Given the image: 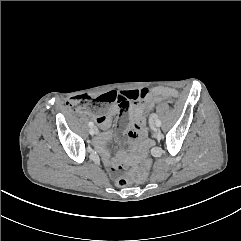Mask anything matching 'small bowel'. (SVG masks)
<instances>
[{
	"mask_svg": "<svg viewBox=\"0 0 241 241\" xmlns=\"http://www.w3.org/2000/svg\"><path fill=\"white\" fill-rule=\"evenodd\" d=\"M116 96L125 98L127 97L128 108L125 112V122L118 125V129L123 134L127 141H133L144 137V121L140 117V109L142 105H146L153 98H160L163 96L175 97L177 91L168 87H157L149 86L144 88H138L137 90L122 91V92H109ZM147 102L146 104H144ZM117 108L122 113L119 104L108 110L106 115H99L95 117L97 124L103 129L107 130L112 121V115L116 112ZM111 134L105 131L95 138L94 145L101 156L102 162L110 169L111 172L118 170L117 165L111 161V156L106 149V141L110 138Z\"/></svg>",
	"mask_w": 241,
	"mask_h": 241,
	"instance_id": "1",
	"label": "small bowel"
}]
</instances>
